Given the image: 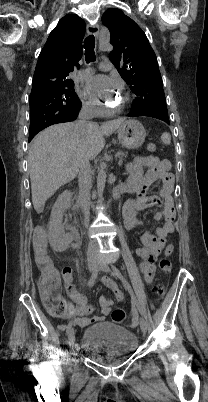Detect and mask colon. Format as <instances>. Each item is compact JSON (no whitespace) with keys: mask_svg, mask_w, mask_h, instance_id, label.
Listing matches in <instances>:
<instances>
[{"mask_svg":"<svg viewBox=\"0 0 208 402\" xmlns=\"http://www.w3.org/2000/svg\"><path fill=\"white\" fill-rule=\"evenodd\" d=\"M149 152L156 150L154 143L147 145ZM49 234L47 232H36L33 243L36 245V251L34 253L37 259V267L40 269V274L43 276L42 282L38 283V290L43 295V308H48L49 314H71L72 306L70 299H61L62 278L59 277V273L55 272L54 263L50 262L47 250V240ZM173 253V245L167 246L164 257L159 261L158 270L162 275H168L172 271V264L170 256ZM165 286L163 284L157 285L155 289V295L161 298L164 295ZM112 320L117 324H126L127 315L124 310L117 308L112 313Z\"/></svg>","mask_w":208,"mask_h":402,"instance_id":"5ec220e1","label":"colon"}]
</instances>
